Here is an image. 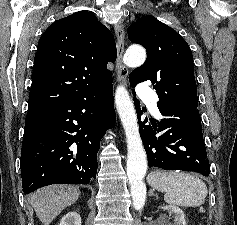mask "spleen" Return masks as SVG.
<instances>
[{"label": "spleen", "mask_w": 237, "mask_h": 225, "mask_svg": "<svg viewBox=\"0 0 237 225\" xmlns=\"http://www.w3.org/2000/svg\"><path fill=\"white\" fill-rule=\"evenodd\" d=\"M148 182L160 192H164V200L168 204L184 207H197L205 202L208 194L205 183L189 173L153 171Z\"/></svg>", "instance_id": "3e777b00"}]
</instances>
